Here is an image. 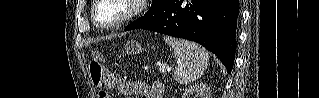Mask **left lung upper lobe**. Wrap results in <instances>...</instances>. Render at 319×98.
<instances>
[{
	"label": "left lung upper lobe",
	"mask_w": 319,
	"mask_h": 98,
	"mask_svg": "<svg viewBox=\"0 0 319 98\" xmlns=\"http://www.w3.org/2000/svg\"><path fill=\"white\" fill-rule=\"evenodd\" d=\"M164 1L165 0H152V5L149 11L143 17L139 18L138 20L132 22L129 25L138 28L150 24L156 19H158L163 13Z\"/></svg>",
	"instance_id": "5c2ea615"
}]
</instances>
